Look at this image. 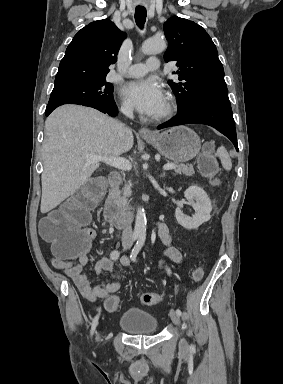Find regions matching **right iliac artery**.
Here are the masks:
<instances>
[{
    "mask_svg": "<svg viewBox=\"0 0 283 384\" xmlns=\"http://www.w3.org/2000/svg\"><path fill=\"white\" fill-rule=\"evenodd\" d=\"M137 239V236H134L133 237V241H135ZM120 256V252L118 250H114L111 252L110 254V258L112 260H117ZM98 319H99V315H97L93 322H92V327H91V335L94 333L95 329H96V326L98 325Z\"/></svg>",
    "mask_w": 283,
    "mask_h": 384,
    "instance_id": "right-iliac-artery-1",
    "label": "right iliac artery"
}]
</instances>
